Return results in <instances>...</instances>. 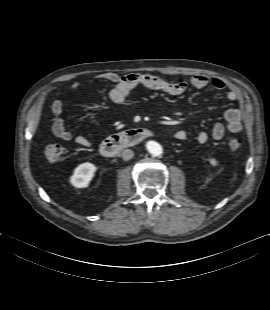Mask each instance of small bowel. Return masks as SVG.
<instances>
[{
  "label": "small bowel",
  "mask_w": 270,
  "mask_h": 310,
  "mask_svg": "<svg viewBox=\"0 0 270 310\" xmlns=\"http://www.w3.org/2000/svg\"><path fill=\"white\" fill-rule=\"evenodd\" d=\"M98 80L106 81L114 84L110 91V98L115 103H123L131 92L137 87H145L152 90L164 92L169 95H181L185 93L189 86L196 89H203L211 85L216 90H224L227 85L224 81L218 78L211 79L206 75H196L192 77L190 82L178 81L170 82L150 74H135L119 75L114 72H107L96 77ZM80 86L79 82L72 85V89H77ZM226 97L231 102L240 100V93L236 89L229 88ZM64 109V103L61 100H56L51 106V112L54 116L52 131L53 134L62 141H74L77 145L84 148H91L92 142L81 135L74 136L65 126L61 115ZM226 125L223 123H215L211 129V136L215 140L223 138L226 130L231 133H238L242 130V113L237 108H230L225 112ZM175 139L184 141L187 139V133L184 130H178L174 134ZM209 135L207 132H200L197 136V141L200 144L207 142Z\"/></svg>",
  "instance_id": "obj_1"
}]
</instances>
